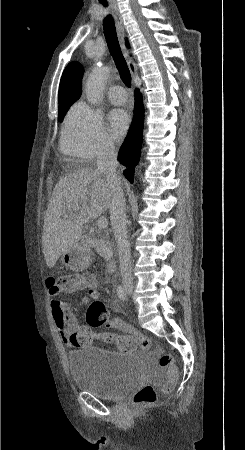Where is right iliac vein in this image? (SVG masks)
I'll return each mask as SVG.
<instances>
[{
  "label": "right iliac vein",
  "mask_w": 245,
  "mask_h": 450,
  "mask_svg": "<svg viewBox=\"0 0 245 450\" xmlns=\"http://www.w3.org/2000/svg\"><path fill=\"white\" fill-rule=\"evenodd\" d=\"M124 289H125V292H126L127 295H129V296L132 295L133 287H132L131 285H127V284H126V285L124 286Z\"/></svg>",
  "instance_id": "63e3f726"
}]
</instances>
